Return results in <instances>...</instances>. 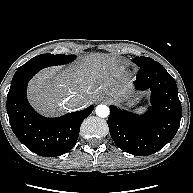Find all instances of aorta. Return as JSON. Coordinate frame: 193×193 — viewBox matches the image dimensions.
Listing matches in <instances>:
<instances>
[{"label":"aorta","mask_w":193,"mask_h":193,"mask_svg":"<svg viewBox=\"0 0 193 193\" xmlns=\"http://www.w3.org/2000/svg\"><path fill=\"white\" fill-rule=\"evenodd\" d=\"M96 115L101 117V118H105L109 115V107L106 105H98L95 109Z\"/></svg>","instance_id":"762f6f07"}]
</instances>
